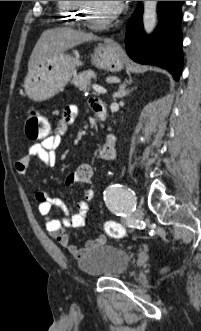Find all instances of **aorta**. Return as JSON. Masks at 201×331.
<instances>
[{"instance_id": "1", "label": "aorta", "mask_w": 201, "mask_h": 331, "mask_svg": "<svg viewBox=\"0 0 201 331\" xmlns=\"http://www.w3.org/2000/svg\"><path fill=\"white\" fill-rule=\"evenodd\" d=\"M157 2L144 1L143 26L147 34H150L157 23Z\"/></svg>"}]
</instances>
